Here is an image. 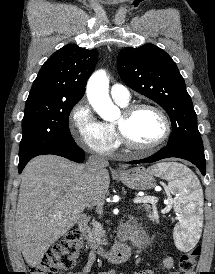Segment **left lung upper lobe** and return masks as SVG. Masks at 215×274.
Masks as SVG:
<instances>
[{"label": "left lung upper lobe", "mask_w": 215, "mask_h": 274, "mask_svg": "<svg viewBox=\"0 0 215 274\" xmlns=\"http://www.w3.org/2000/svg\"><path fill=\"white\" fill-rule=\"evenodd\" d=\"M117 68L124 83L158 103L172 123L171 146L203 149L197 117L176 63L162 49L145 44L120 51Z\"/></svg>", "instance_id": "obj_1"}]
</instances>
